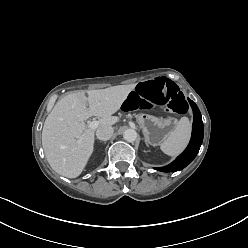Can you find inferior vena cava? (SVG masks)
Masks as SVG:
<instances>
[{
    "mask_svg": "<svg viewBox=\"0 0 248 248\" xmlns=\"http://www.w3.org/2000/svg\"><path fill=\"white\" fill-rule=\"evenodd\" d=\"M113 132H114V130H113L112 126L104 125V126H101L97 129L96 136L99 140L107 141L112 137Z\"/></svg>",
    "mask_w": 248,
    "mask_h": 248,
    "instance_id": "1",
    "label": "inferior vena cava"
}]
</instances>
